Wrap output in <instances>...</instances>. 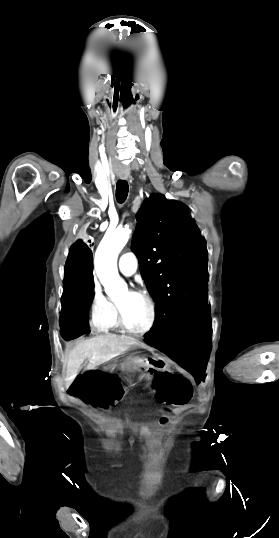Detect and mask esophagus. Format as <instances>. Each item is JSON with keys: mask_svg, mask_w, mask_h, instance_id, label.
I'll use <instances>...</instances> for the list:
<instances>
[{"mask_svg": "<svg viewBox=\"0 0 279 538\" xmlns=\"http://www.w3.org/2000/svg\"><path fill=\"white\" fill-rule=\"evenodd\" d=\"M120 178H122V180H126L128 177L127 176H121Z\"/></svg>", "mask_w": 279, "mask_h": 538, "instance_id": "1", "label": "esophagus"}]
</instances>
